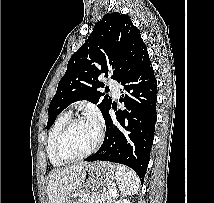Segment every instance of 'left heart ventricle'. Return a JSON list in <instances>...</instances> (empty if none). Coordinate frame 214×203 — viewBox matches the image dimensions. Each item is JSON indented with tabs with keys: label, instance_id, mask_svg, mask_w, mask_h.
Here are the masks:
<instances>
[{
	"label": "left heart ventricle",
	"instance_id": "1",
	"mask_svg": "<svg viewBox=\"0 0 214 203\" xmlns=\"http://www.w3.org/2000/svg\"><path fill=\"white\" fill-rule=\"evenodd\" d=\"M98 136L96 123L91 120L79 122L65 134L61 150L69 158L84 154L92 148Z\"/></svg>",
	"mask_w": 214,
	"mask_h": 203
}]
</instances>
